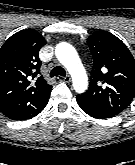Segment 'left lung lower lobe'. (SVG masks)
Returning <instances> with one entry per match:
<instances>
[{"label": "left lung lower lobe", "mask_w": 135, "mask_h": 165, "mask_svg": "<svg viewBox=\"0 0 135 165\" xmlns=\"http://www.w3.org/2000/svg\"><path fill=\"white\" fill-rule=\"evenodd\" d=\"M77 103L78 105L81 107V109L87 113L88 115H90L91 117L94 118H99V119H106V118H111L113 117L112 115L108 114L107 112H105L104 110L94 107L92 105H89L87 103H83L82 101H80L79 99H77Z\"/></svg>", "instance_id": "left-lung-lower-lobe-1"}]
</instances>
